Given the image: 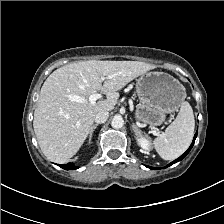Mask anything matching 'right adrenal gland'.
<instances>
[{
  "label": "right adrenal gland",
  "mask_w": 224,
  "mask_h": 224,
  "mask_svg": "<svg viewBox=\"0 0 224 224\" xmlns=\"http://www.w3.org/2000/svg\"><path fill=\"white\" fill-rule=\"evenodd\" d=\"M98 123L97 124H94L93 126H92V128H91V130H90V133H89V138L91 139V137H92V134H93V132H94V130L98 127Z\"/></svg>",
  "instance_id": "2a0ac1e0"
}]
</instances>
